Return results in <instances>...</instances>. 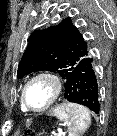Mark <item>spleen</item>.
<instances>
[{
    "label": "spleen",
    "instance_id": "1",
    "mask_svg": "<svg viewBox=\"0 0 117 136\" xmlns=\"http://www.w3.org/2000/svg\"><path fill=\"white\" fill-rule=\"evenodd\" d=\"M51 114L67 125L69 136H79L91 124L89 110L76 103H62L56 106Z\"/></svg>",
    "mask_w": 117,
    "mask_h": 136
}]
</instances>
